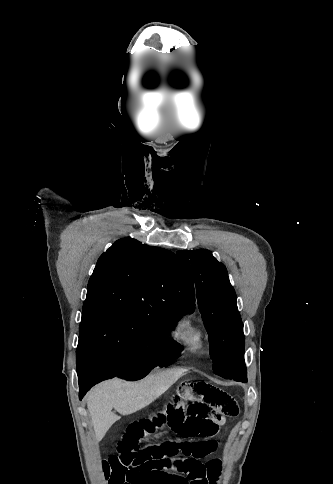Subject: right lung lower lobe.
Returning <instances> with one entry per match:
<instances>
[{"label": "right lung lower lobe", "mask_w": 333, "mask_h": 484, "mask_svg": "<svg viewBox=\"0 0 333 484\" xmlns=\"http://www.w3.org/2000/svg\"><path fill=\"white\" fill-rule=\"evenodd\" d=\"M115 375L116 373L110 371L103 362L97 361L90 363L84 372L78 373L80 399H82L90 387Z\"/></svg>", "instance_id": "1"}]
</instances>
